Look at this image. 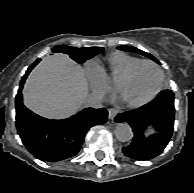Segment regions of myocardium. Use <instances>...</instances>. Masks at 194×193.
Returning a JSON list of instances; mask_svg holds the SVG:
<instances>
[{
  "mask_svg": "<svg viewBox=\"0 0 194 193\" xmlns=\"http://www.w3.org/2000/svg\"><path fill=\"white\" fill-rule=\"evenodd\" d=\"M145 64H149L152 65L153 67L156 68V70L159 73V82L158 85L155 89V91L146 99L139 101V102H129L126 101L122 98L121 101L124 105H126L127 107H131V108H137V107H141L144 106L150 102H152L161 92L163 85H164V72L162 70V68L160 67V65L158 63H156L155 61L152 60H141L137 63H135L134 65H132L125 73H123L119 79L116 81L115 85H114V90L115 92L119 95L120 97V90L122 88V86L132 77V75L134 74V72L142 65Z\"/></svg>",
  "mask_w": 194,
  "mask_h": 193,
  "instance_id": "myocardium-1",
  "label": "myocardium"
}]
</instances>
